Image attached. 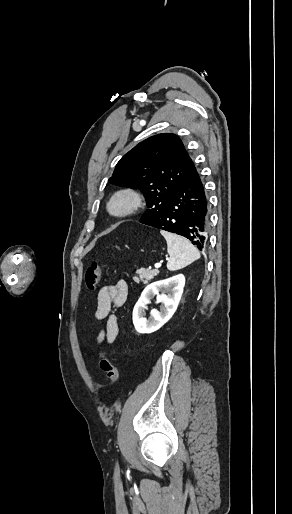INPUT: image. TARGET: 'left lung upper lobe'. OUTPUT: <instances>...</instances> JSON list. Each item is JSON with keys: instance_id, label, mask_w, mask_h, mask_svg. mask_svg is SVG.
<instances>
[{"instance_id": "5c2ea615", "label": "left lung upper lobe", "mask_w": 292, "mask_h": 514, "mask_svg": "<svg viewBox=\"0 0 292 514\" xmlns=\"http://www.w3.org/2000/svg\"><path fill=\"white\" fill-rule=\"evenodd\" d=\"M193 162L181 139L172 133L158 134L137 144L118 162L109 182L138 188L148 210L139 222L156 218L163 204L186 177Z\"/></svg>"}]
</instances>
